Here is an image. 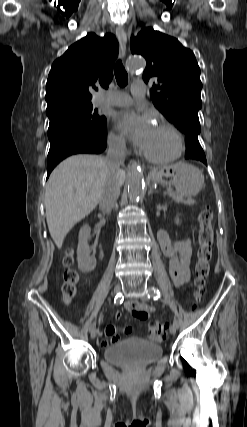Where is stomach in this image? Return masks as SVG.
<instances>
[{
    "instance_id": "stomach-1",
    "label": "stomach",
    "mask_w": 247,
    "mask_h": 427,
    "mask_svg": "<svg viewBox=\"0 0 247 427\" xmlns=\"http://www.w3.org/2000/svg\"><path fill=\"white\" fill-rule=\"evenodd\" d=\"M154 184H168L175 187L177 194L183 198L195 197L204 185V176L195 166L178 162L167 166L151 176Z\"/></svg>"
}]
</instances>
